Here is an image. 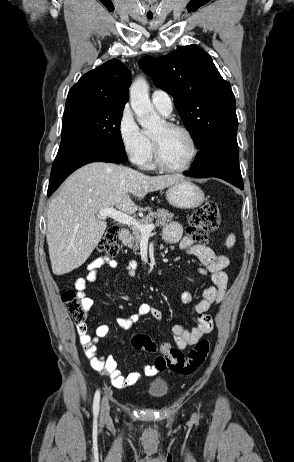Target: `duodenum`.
Masks as SVG:
<instances>
[{"label": "duodenum", "mask_w": 294, "mask_h": 462, "mask_svg": "<svg viewBox=\"0 0 294 462\" xmlns=\"http://www.w3.org/2000/svg\"><path fill=\"white\" fill-rule=\"evenodd\" d=\"M130 231L127 228H122L118 233V238L121 241H126L129 238Z\"/></svg>", "instance_id": "1"}]
</instances>
